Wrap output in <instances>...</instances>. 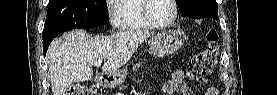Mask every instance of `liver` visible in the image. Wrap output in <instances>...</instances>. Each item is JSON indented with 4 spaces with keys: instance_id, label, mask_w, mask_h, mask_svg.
Here are the masks:
<instances>
[{
    "instance_id": "6515ba94",
    "label": "liver",
    "mask_w": 277,
    "mask_h": 95,
    "mask_svg": "<svg viewBox=\"0 0 277 95\" xmlns=\"http://www.w3.org/2000/svg\"><path fill=\"white\" fill-rule=\"evenodd\" d=\"M150 35L129 30L90 38L85 30H73L55 39L48 49L53 95H63L64 89L74 82L92 79L93 67L99 60H106L102 66L104 73L118 70Z\"/></svg>"
}]
</instances>
